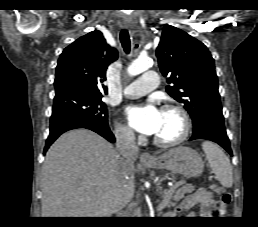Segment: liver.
<instances>
[{
	"label": "liver",
	"instance_id": "liver-1",
	"mask_svg": "<svg viewBox=\"0 0 258 227\" xmlns=\"http://www.w3.org/2000/svg\"><path fill=\"white\" fill-rule=\"evenodd\" d=\"M134 171L119 164L113 145L98 134L66 132L42 167V217H109L133 198Z\"/></svg>",
	"mask_w": 258,
	"mask_h": 227
}]
</instances>
